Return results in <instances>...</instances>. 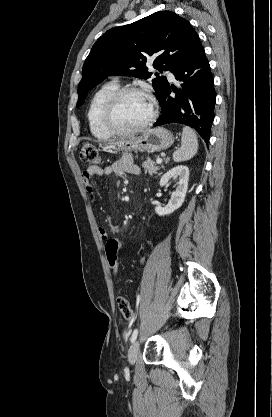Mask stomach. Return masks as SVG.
Instances as JSON below:
<instances>
[{
  "label": "stomach",
  "mask_w": 272,
  "mask_h": 417,
  "mask_svg": "<svg viewBox=\"0 0 272 417\" xmlns=\"http://www.w3.org/2000/svg\"><path fill=\"white\" fill-rule=\"evenodd\" d=\"M174 143L173 134L164 127H156L144 131L139 136L111 142L104 146V150L109 153L119 151L129 152H159L168 149Z\"/></svg>",
  "instance_id": "stomach-1"
}]
</instances>
